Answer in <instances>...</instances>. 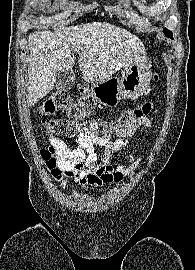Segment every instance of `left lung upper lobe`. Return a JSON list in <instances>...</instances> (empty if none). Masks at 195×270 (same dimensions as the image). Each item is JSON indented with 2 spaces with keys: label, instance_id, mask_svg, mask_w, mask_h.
Returning a JSON list of instances; mask_svg holds the SVG:
<instances>
[{
  "label": "left lung upper lobe",
  "instance_id": "obj_1",
  "mask_svg": "<svg viewBox=\"0 0 195 270\" xmlns=\"http://www.w3.org/2000/svg\"><path fill=\"white\" fill-rule=\"evenodd\" d=\"M164 34H166L168 36H172V32L167 30V29H164Z\"/></svg>",
  "mask_w": 195,
  "mask_h": 270
}]
</instances>
